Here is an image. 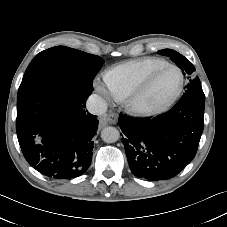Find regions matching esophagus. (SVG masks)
<instances>
[{
  "label": "esophagus",
  "mask_w": 227,
  "mask_h": 227,
  "mask_svg": "<svg viewBox=\"0 0 227 227\" xmlns=\"http://www.w3.org/2000/svg\"><path fill=\"white\" fill-rule=\"evenodd\" d=\"M107 120L109 123L111 124H116L117 120H118V115L116 113H110L107 116Z\"/></svg>",
  "instance_id": "obj_1"
}]
</instances>
